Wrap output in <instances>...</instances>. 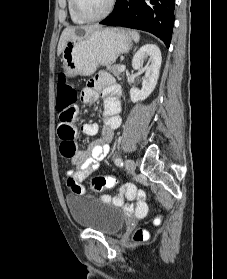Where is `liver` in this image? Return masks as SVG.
Returning a JSON list of instances; mask_svg holds the SVG:
<instances>
[{"label": "liver", "instance_id": "obj_1", "mask_svg": "<svg viewBox=\"0 0 227 279\" xmlns=\"http://www.w3.org/2000/svg\"><path fill=\"white\" fill-rule=\"evenodd\" d=\"M101 28L100 25H90V26H82V27H66L59 39L58 47H57V55L60 56L63 52V49L66 43L70 40L80 39L81 36L76 33L78 29L84 31L85 35L90 34L92 31Z\"/></svg>", "mask_w": 227, "mask_h": 279}]
</instances>
